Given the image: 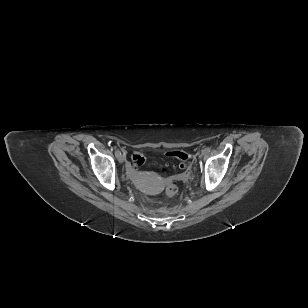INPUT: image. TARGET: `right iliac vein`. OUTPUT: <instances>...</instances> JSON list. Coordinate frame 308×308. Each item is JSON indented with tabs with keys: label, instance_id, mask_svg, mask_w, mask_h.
<instances>
[{
	"label": "right iliac vein",
	"instance_id": "1",
	"mask_svg": "<svg viewBox=\"0 0 308 308\" xmlns=\"http://www.w3.org/2000/svg\"><path fill=\"white\" fill-rule=\"evenodd\" d=\"M116 157H117V159H118V161H119L120 163H123V162L125 161V158H124V156L121 154V152H120Z\"/></svg>",
	"mask_w": 308,
	"mask_h": 308
}]
</instances>
